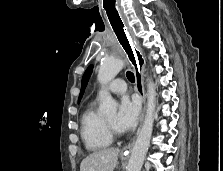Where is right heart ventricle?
I'll return each mask as SVG.
<instances>
[{
    "label": "right heart ventricle",
    "mask_w": 223,
    "mask_h": 171,
    "mask_svg": "<svg viewBox=\"0 0 223 171\" xmlns=\"http://www.w3.org/2000/svg\"><path fill=\"white\" fill-rule=\"evenodd\" d=\"M80 134L86 149L91 152L106 149L112 143L104 118L97 112L95 101L86 107L81 116Z\"/></svg>",
    "instance_id": "1"
}]
</instances>
